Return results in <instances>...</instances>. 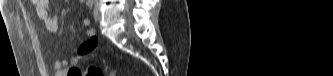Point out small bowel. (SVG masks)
<instances>
[{
  "mask_svg": "<svg viewBox=\"0 0 333 76\" xmlns=\"http://www.w3.org/2000/svg\"><path fill=\"white\" fill-rule=\"evenodd\" d=\"M48 3L46 0H35L34 5L37 8L39 17L45 22L47 30L51 33H57L59 31V22L55 16L50 14ZM84 25L86 33L90 38L76 49L69 60H55L53 62L52 67L56 76H84L82 68H79L78 63L96 48L95 42L99 41V33L90 27L88 19L84 21Z\"/></svg>",
  "mask_w": 333,
  "mask_h": 76,
  "instance_id": "c3829d8e",
  "label": "small bowel"
}]
</instances>
